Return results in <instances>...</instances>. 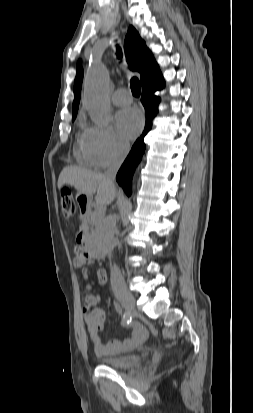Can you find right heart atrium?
<instances>
[{"instance_id":"obj_1","label":"right heart atrium","mask_w":253,"mask_h":413,"mask_svg":"<svg viewBox=\"0 0 253 413\" xmlns=\"http://www.w3.org/2000/svg\"><path fill=\"white\" fill-rule=\"evenodd\" d=\"M84 146L94 166L104 168L120 160L128 151V144L111 126H90L83 136Z\"/></svg>"}]
</instances>
